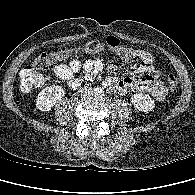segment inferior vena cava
<instances>
[{
    "instance_id": "obj_1",
    "label": "inferior vena cava",
    "mask_w": 195,
    "mask_h": 195,
    "mask_svg": "<svg viewBox=\"0 0 195 195\" xmlns=\"http://www.w3.org/2000/svg\"><path fill=\"white\" fill-rule=\"evenodd\" d=\"M92 89L90 88V87H83V88H81V90H80V93H81V95H83V96H87V95H90V94H92Z\"/></svg>"
}]
</instances>
